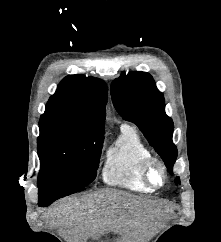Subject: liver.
Here are the masks:
<instances>
[{"mask_svg":"<svg viewBox=\"0 0 221 242\" xmlns=\"http://www.w3.org/2000/svg\"><path fill=\"white\" fill-rule=\"evenodd\" d=\"M159 211L156 201L121 191H98L67 197L55 203L46 219L62 231L67 242H86L113 231L122 242H139V236Z\"/></svg>","mask_w":221,"mask_h":242,"instance_id":"1","label":"liver"}]
</instances>
